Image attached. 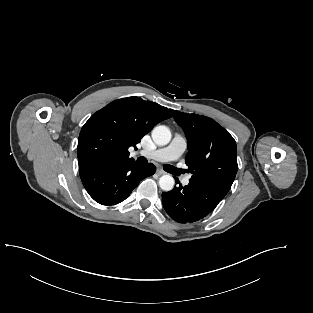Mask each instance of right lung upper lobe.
Segmentation results:
<instances>
[{
	"mask_svg": "<svg viewBox=\"0 0 313 313\" xmlns=\"http://www.w3.org/2000/svg\"><path fill=\"white\" fill-rule=\"evenodd\" d=\"M172 117L168 108L139 97L109 103L81 129L77 155L79 171L135 162L128 148L140 142L159 122Z\"/></svg>",
	"mask_w": 313,
	"mask_h": 313,
	"instance_id": "1",
	"label": "right lung upper lobe"
}]
</instances>
